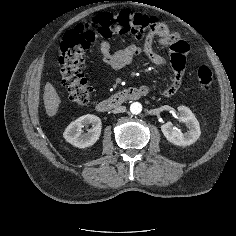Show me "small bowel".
<instances>
[{
    "label": "small bowel",
    "instance_id": "1",
    "mask_svg": "<svg viewBox=\"0 0 236 236\" xmlns=\"http://www.w3.org/2000/svg\"><path fill=\"white\" fill-rule=\"evenodd\" d=\"M155 39L158 40L160 46H169L171 49V65L174 71L173 76L165 83L163 92L166 96L175 94L182 81V73L185 65L186 56L189 51L187 42L174 35L168 41H162L150 32L145 37L141 45L130 44L116 51H112L111 43L103 40L99 44V50L102 54L103 61L112 71H119L132 62V60L140 55H144L153 65L162 67L166 64L165 58L154 49ZM149 91L147 86L143 87Z\"/></svg>",
    "mask_w": 236,
    "mask_h": 236
}]
</instances>
